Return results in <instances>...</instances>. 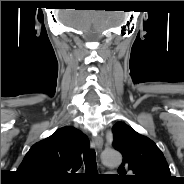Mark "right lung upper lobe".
Here are the masks:
<instances>
[{"label": "right lung upper lobe", "mask_w": 184, "mask_h": 184, "mask_svg": "<svg viewBox=\"0 0 184 184\" xmlns=\"http://www.w3.org/2000/svg\"><path fill=\"white\" fill-rule=\"evenodd\" d=\"M89 140L80 130L65 126L34 144L17 171L30 182L63 184L73 181Z\"/></svg>", "instance_id": "1"}]
</instances>
